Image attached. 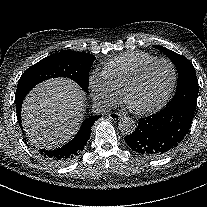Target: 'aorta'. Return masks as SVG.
Returning <instances> with one entry per match:
<instances>
[{
	"label": "aorta",
	"mask_w": 207,
	"mask_h": 207,
	"mask_svg": "<svg viewBox=\"0 0 207 207\" xmlns=\"http://www.w3.org/2000/svg\"><path fill=\"white\" fill-rule=\"evenodd\" d=\"M136 127L137 125L135 120L130 117L124 116L120 118L118 122V128L123 134H132L135 131Z\"/></svg>",
	"instance_id": "aorta-1"
}]
</instances>
